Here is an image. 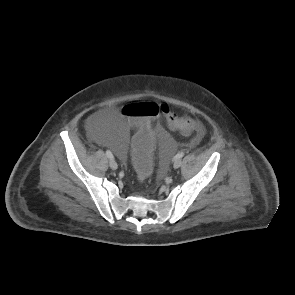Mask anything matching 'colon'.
I'll use <instances>...</instances> for the list:
<instances>
[{"instance_id": "colon-1", "label": "colon", "mask_w": 295, "mask_h": 295, "mask_svg": "<svg viewBox=\"0 0 295 295\" xmlns=\"http://www.w3.org/2000/svg\"><path fill=\"white\" fill-rule=\"evenodd\" d=\"M117 121H120L121 127H129L135 133L131 144V162L133 175L140 182H147L154 175L152 150L157 136L152 126L165 121L170 130H180L184 135L199 130V125L192 119L189 110L174 112L158 99L146 96L122 102L117 112Z\"/></svg>"}]
</instances>
